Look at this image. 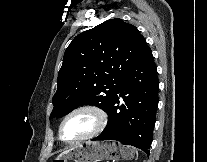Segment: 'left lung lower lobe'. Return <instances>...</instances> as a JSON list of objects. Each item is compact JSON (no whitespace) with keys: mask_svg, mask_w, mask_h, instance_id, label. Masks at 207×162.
<instances>
[{"mask_svg":"<svg viewBox=\"0 0 207 162\" xmlns=\"http://www.w3.org/2000/svg\"><path fill=\"white\" fill-rule=\"evenodd\" d=\"M159 80L151 50L133 67L118 87L107 111L109 122L92 140H116L150 153L158 106ZM123 103L119 106V99Z\"/></svg>","mask_w":207,"mask_h":162,"instance_id":"obj_1","label":"left lung lower lobe"}]
</instances>
